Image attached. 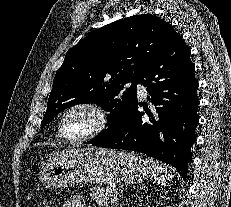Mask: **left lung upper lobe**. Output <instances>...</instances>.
Returning a JSON list of instances; mask_svg holds the SVG:
<instances>
[{"instance_id":"1","label":"left lung upper lobe","mask_w":231,"mask_h":207,"mask_svg":"<svg viewBox=\"0 0 231 207\" xmlns=\"http://www.w3.org/2000/svg\"><path fill=\"white\" fill-rule=\"evenodd\" d=\"M181 36L152 14L135 15L108 24L71 48L56 72L42 126L72 105L95 103L110 112L108 129L137 101L136 86L146 65ZM131 82L123 91V85Z\"/></svg>"}]
</instances>
